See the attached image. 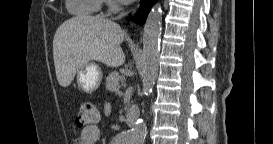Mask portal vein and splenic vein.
Masks as SVG:
<instances>
[{"mask_svg": "<svg viewBox=\"0 0 273 144\" xmlns=\"http://www.w3.org/2000/svg\"><path fill=\"white\" fill-rule=\"evenodd\" d=\"M123 80H125V78H124V77L122 78V81H123Z\"/></svg>", "mask_w": 273, "mask_h": 144, "instance_id": "18ae733b", "label": "portal vein and splenic vein"}]
</instances>
